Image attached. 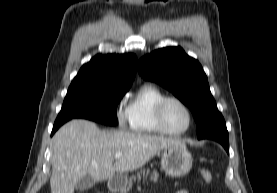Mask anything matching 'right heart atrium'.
I'll return each instance as SVG.
<instances>
[{
    "instance_id": "1",
    "label": "right heart atrium",
    "mask_w": 277,
    "mask_h": 193,
    "mask_svg": "<svg viewBox=\"0 0 277 193\" xmlns=\"http://www.w3.org/2000/svg\"><path fill=\"white\" fill-rule=\"evenodd\" d=\"M117 122L120 127H125L128 122V117L126 111H123L121 108L117 110L116 114Z\"/></svg>"
}]
</instances>
